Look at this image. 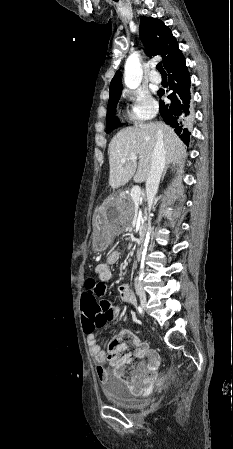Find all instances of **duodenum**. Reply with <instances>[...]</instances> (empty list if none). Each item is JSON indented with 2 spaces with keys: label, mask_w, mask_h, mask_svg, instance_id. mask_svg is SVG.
<instances>
[{
  "label": "duodenum",
  "mask_w": 233,
  "mask_h": 449,
  "mask_svg": "<svg viewBox=\"0 0 233 449\" xmlns=\"http://www.w3.org/2000/svg\"><path fill=\"white\" fill-rule=\"evenodd\" d=\"M142 255H143V248H142V246L136 247V249L134 251L135 258L140 260L142 258Z\"/></svg>",
  "instance_id": "1"
}]
</instances>
